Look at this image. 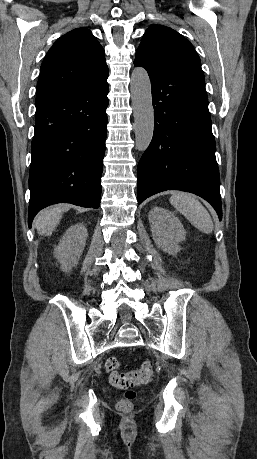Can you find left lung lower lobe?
<instances>
[{"instance_id":"obj_1","label":"left lung lower lobe","mask_w":257,"mask_h":459,"mask_svg":"<svg viewBox=\"0 0 257 459\" xmlns=\"http://www.w3.org/2000/svg\"><path fill=\"white\" fill-rule=\"evenodd\" d=\"M152 85L154 134L138 164V204L165 190L207 200L222 218L220 177L215 158L208 97L202 71L163 70L138 61Z\"/></svg>"}]
</instances>
